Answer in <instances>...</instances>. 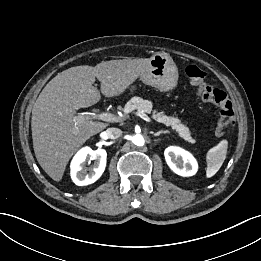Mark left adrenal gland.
<instances>
[{
    "label": "left adrenal gland",
    "mask_w": 261,
    "mask_h": 261,
    "mask_svg": "<svg viewBox=\"0 0 261 261\" xmlns=\"http://www.w3.org/2000/svg\"><path fill=\"white\" fill-rule=\"evenodd\" d=\"M166 133H170V132L167 131V130H161V131H158V132H156V133H153V135H154L155 137H158V136H160L161 134H166Z\"/></svg>",
    "instance_id": "left-adrenal-gland-1"
}]
</instances>
